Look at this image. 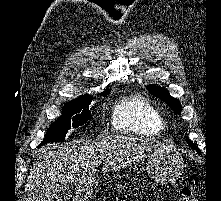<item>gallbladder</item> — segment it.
Wrapping results in <instances>:
<instances>
[{"label":"gallbladder","instance_id":"1","mask_svg":"<svg viewBox=\"0 0 221 201\" xmlns=\"http://www.w3.org/2000/svg\"><path fill=\"white\" fill-rule=\"evenodd\" d=\"M73 196V186L71 184L60 185L55 192L56 201H69Z\"/></svg>","mask_w":221,"mask_h":201}]
</instances>
